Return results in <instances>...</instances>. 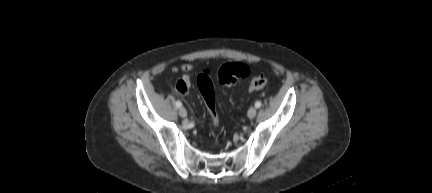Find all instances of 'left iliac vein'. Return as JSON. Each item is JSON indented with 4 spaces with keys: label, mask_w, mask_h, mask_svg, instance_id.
<instances>
[{
    "label": "left iliac vein",
    "mask_w": 432,
    "mask_h": 193,
    "mask_svg": "<svg viewBox=\"0 0 432 193\" xmlns=\"http://www.w3.org/2000/svg\"><path fill=\"white\" fill-rule=\"evenodd\" d=\"M256 113H257L256 108L255 107H250L249 110H248L247 115H248L249 118H254L256 116Z\"/></svg>",
    "instance_id": "1"
}]
</instances>
